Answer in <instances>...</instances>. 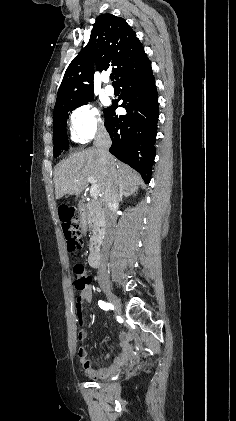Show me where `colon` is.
Wrapping results in <instances>:
<instances>
[{"instance_id": "obj_1", "label": "colon", "mask_w": 236, "mask_h": 421, "mask_svg": "<svg viewBox=\"0 0 236 421\" xmlns=\"http://www.w3.org/2000/svg\"><path fill=\"white\" fill-rule=\"evenodd\" d=\"M64 222H63V231L67 242L68 251L74 253L81 245V233L79 226L76 222L71 220L70 211L66 210L64 212ZM72 279L74 287L82 292L92 282V277L86 267L82 264H76L73 267ZM79 356L84 354V349L80 348L78 351Z\"/></svg>"}]
</instances>
